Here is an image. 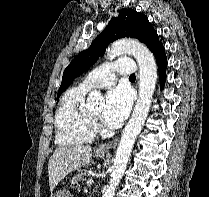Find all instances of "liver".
Instances as JSON below:
<instances>
[{"instance_id":"obj_1","label":"liver","mask_w":209,"mask_h":197,"mask_svg":"<svg viewBox=\"0 0 209 197\" xmlns=\"http://www.w3.org/2000/svg\"><path fill=\"white\" fill-rule=\"evenodd\" d=\"M92 149L89 146H65L55 149L48 163L50 190L59 184L70 172L90 163Z\"/></svg>"}]
</instances>
